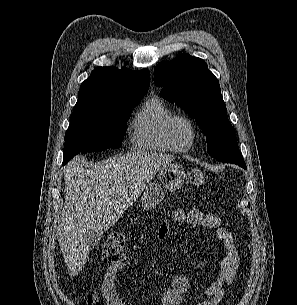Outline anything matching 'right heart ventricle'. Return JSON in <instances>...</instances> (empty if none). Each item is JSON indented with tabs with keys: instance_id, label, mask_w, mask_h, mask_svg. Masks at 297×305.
<instances>
[{
	"instance_id": "right-heart-ventricle-1",
	"label": "right heart ventricle",
	"mask_w": 297,
	"mask_h": 305,
	"mask_svg": "<svg viewBox=\"0 0 297 305\" xmlns=\"http://www.w3.org/2000/svg\"><path fill=\"white\" fill-rule=\"evenodd\" d=\"M174 110L161 98L151 97L136 112L132 123L131 143L134 150L178 152L166 135V123Z\"/></svg>"
}]
</instances>
